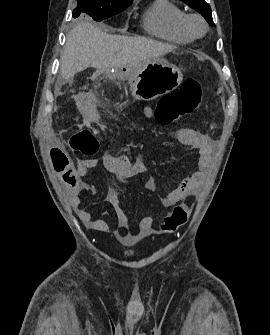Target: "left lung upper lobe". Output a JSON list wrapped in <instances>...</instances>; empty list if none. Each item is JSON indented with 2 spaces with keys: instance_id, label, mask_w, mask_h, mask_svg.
<instances>
[{
  "instance_id": "5c2ea615",
  "label": "left lung upper lobe",
  "mask_w": 270,
  "mask_h": 335,
  "mask_svg": "<svg viewBox=\"0 0 270 335\" xmlns=\"http://www.w3.org/2000/svg\"><path fill=\"white\" fill-rule=\"evenodd\" d=\"M186 4H188L191 8L195 9L198 13H200L206 21L215 27V24L212 19L211 8L205 0H182Z\"/></svg>"
}]
</instances>
